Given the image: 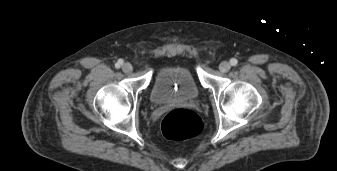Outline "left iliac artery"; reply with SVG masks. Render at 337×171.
Instances as JSON below:
<instances>
[{"label": "left iliac artery", "instance_id": "left-iliac-artery-1", "mask_svg": "<svg viewBox=\"0 0 337 171\" xmlns=\"http://www.w3.org/2000/svg\"><path fill=\"white\" fill-rule=\"evenodd\" d=\"M237 63H238V60L235 59V58H232V59L230 60V64H231L232 66H236Z\"/></svg>", "mask_w": 337, "mask_h": 171}]
</instances>
